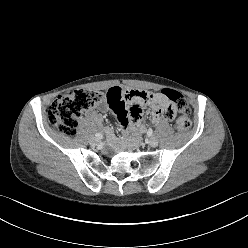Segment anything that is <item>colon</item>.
<instances>
[{
  "label": "colon",
  "instance_id": "colon-1",
  "mask_svg": "<svg viewBox=\"0 0 248 248\" xmlns=\"http://www.w3.org/2000/svg\"><path fill=\"white\" fill-rule=\"evenodd\" d=\"M163 94L168 99L169 111H177L179 114L176 120L177 129L181 132L187 131L191 126V121L186 99L178 91L172 89H165ZM104 98L105 94L93 90L79 89L65 92L51 104L48 110V120L63 134L73 136L77 130V121L82 113Z\"/></svg>",
  "mask_w": 248,
  "mask_h": 248
}]
</instances>
